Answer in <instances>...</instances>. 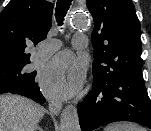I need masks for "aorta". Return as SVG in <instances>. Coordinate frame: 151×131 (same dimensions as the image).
<instances>
[{
  "label": "aorta",
  "instance_id": "obj_1",
  "mask_svg": "<svg viewBox=\"0 0 151 131\" xmlns=\"http://www.w3.org/2000/svg\"><path fill=\"white\" fill-rule=\"evenodd\" d=\"M71 25L76 28H83L87 25L84 16L76 15L71 21ZM61 131H80L79 117L77 108L73 105H67L60 117Z\"/></svg>",
  "mask_w": 151,
  "mask_h": 131
}]
</instances>
